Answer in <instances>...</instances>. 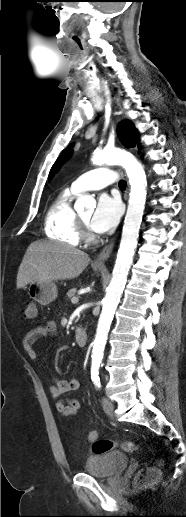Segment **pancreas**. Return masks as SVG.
Wrapping results in <instances>:
<instances>
[{
  "instance_id": "pancreas-1",
  "label": "pancreas",
  "mask_w": 186,
  "mask_h": 517,
  "mask_svg": "<svg viewBox=\"0 0 186 517\" xmlns=\"http://www.w3.org/2000/svg\"><path fill=\"white\" fill-rule=\"evenodd\" d=\"M76 292H77V289H76V288H72V289H70V290L67 292V296H68V298H73V297H75Z\"/></svg>"
}]
</instances>
